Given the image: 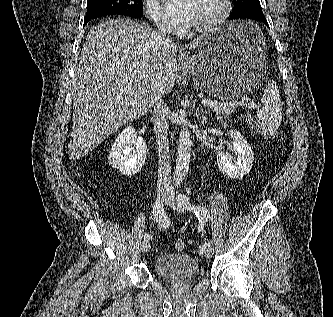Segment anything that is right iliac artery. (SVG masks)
Returning <instances> with one entry per match:
<instances>
[{
    "label": "right iliac artery",
    "mask_w": 333,
    "mask_h": 317,
    "mask_svg": "<svg viewBox=\"0 0 333 317\" xmlns=\"http://www.w3.org/2000/svg\"><path fill=\"white\" fill-rule=\"evenodd\" d=\"M153 216L156 222L163 228H168L170 225V220L167 216L166 211L164 210L163 204L160 199H157L153 208ZM144 240H152V236L150 234L145 233L143 235Z\"/></svg>",
    "instance_id": "1"
}]
</instances>
